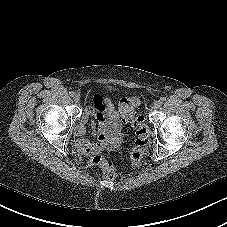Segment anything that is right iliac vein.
Returning <instances> with one entry per match:
<instances>
[{"instance_id":"1","label":"right iliac vein","mask_w":227,"mask_h":227,"mask_svg":"<svg viewBox=\"0 0 227 227\" xmlns=\"http://www.w3.org/2000/svg\"><path fill=\"white\" fill-rule=\"evenodd\" d=\"M73 99H74V101H75L76 103H79L80 100H81V97H80L79 94H75L74 97H73Z\"/></svg>"}]
</instances>
